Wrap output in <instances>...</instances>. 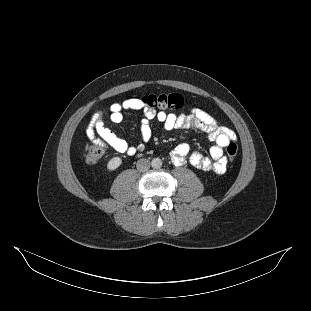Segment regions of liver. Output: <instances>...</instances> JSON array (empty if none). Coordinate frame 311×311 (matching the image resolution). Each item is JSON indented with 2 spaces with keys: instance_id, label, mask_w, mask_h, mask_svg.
I'll list each match as a JSON object with an SVG mask.
<instances>
[{
  "instance_id": "1",
  "label": "liver",
  "mask_w": 311,
  "mask_h": 311,
  "mask_svg": "<svg viewBox=\"0 0 311 311\" xmlns=\"http://www.w3.org/2000/svg\"><path fill=\"white\" fill-rule=\"evenodd\" d=\"M85 150H88V144L86 145Z\"/></svg>"
}]
</instances>
